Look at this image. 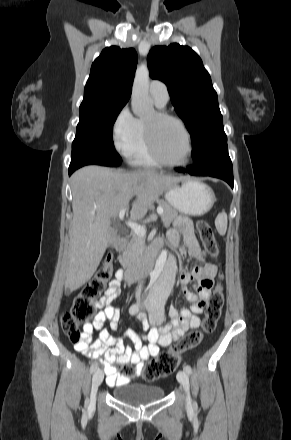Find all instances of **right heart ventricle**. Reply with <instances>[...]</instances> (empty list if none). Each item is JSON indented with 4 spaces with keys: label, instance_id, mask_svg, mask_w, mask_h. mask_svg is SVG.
Wrapping results in <instances>:
<instances>
[{
    "label": "right heart ventricle",
    "instance_id": "obj_1",
    "mask_svg": "<svg viewBox=\"0 0 291 440\" xmlns=\"http://www.w3.org/2000/svg\"><path fill=\"white\" fill-rule=\"evenodd\" d=\"M126 156L130 165L134 167H159L161 165L153 158L149 151L143 119H137L136 138Z\"/></svg>",
    "mask_w": 291,
    "mask_h": 440
}]
</instances>
